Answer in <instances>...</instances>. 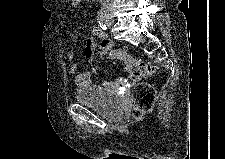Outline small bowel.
<instances>
[{"instance_id": "obj_1", "label": "small bowel", "mask_w": 225, "mask_h": 159, "mask_svg": "<svg viewBox=\"0 0 225 159\" xmlns=\"http://www.w3.org/2000/svg\"><path fill=\"white\" fill-rule=\"evenodd\" d=\"M99 40L100 44L98 43ZM101 47L112 49L114 47V42L107 38V35L103 29L95 27L93 28L91 37L87 41L84 49V57L92 66V70L87 72L79 71L78 63L74 62V59L76 58V52L74 50L68 51L67 59L71 61L69 64V71L73 75V82L77 88H84L91 83L92 77L96 73L95 62L97 54L101 55L99 51ZM118 83L126 84L127 80L120 79ZM106 85L111 84L106 83Z\"/></svg>"}]
</instances>
